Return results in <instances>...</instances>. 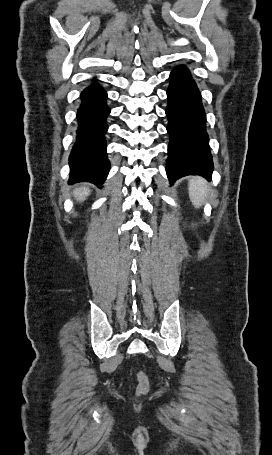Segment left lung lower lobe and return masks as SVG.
Wrapping results in <instances>:
<instances>
[{
    "label": "left lung lower lobe",
    "instance_id": "obj_1",
    "mask_svg": "<svg viewBox=\"0 0 272 455\" xmlns=\"http://www.w3.org/2000/svg\"><path fill=\"white\" fill-rule=\"evenodd\" d=\"M167 98L170 143L166 172L170 182L190 174L210 179L213 162L206 133V116L200 92L185 66L172 70Z\"/></svg>",
    "mask_w": 272,
    "mask_h": 455
}]
</instances>
